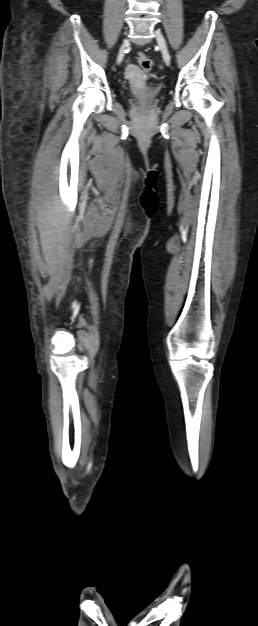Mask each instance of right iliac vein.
<instances>
[{"instance_id":"obj_1","label":"right iliac vein","mask_w":258,"mask_h":626,"mask_svg":"<svg viewBox=\"0 0 258 626\" xmlns=\"http://www.w3.org/2000/svg\"><path fill=\"white\" fill-rule=\"evenodd\" d=\"M128 44H129L128 39H124L122 47L120 48V51H119V54H118V57H117V63L118 64L122 62L123 57H124V51H125V48L128 46Z\"/></svg>"}]
</instances>
